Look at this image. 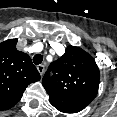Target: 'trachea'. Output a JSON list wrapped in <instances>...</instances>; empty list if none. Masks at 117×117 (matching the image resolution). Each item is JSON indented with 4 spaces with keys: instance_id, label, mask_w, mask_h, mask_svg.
<instances>
[{
    "instance_id": "1",
    "label": "trachea",
    "mask_w": 117,
    "mask_h": 117,
    "mask_svg": "<svg viewBox=\"0 0 117 117\" xmlns=\"http://www.w3.org/2000/svg\"><path fill=\"white\" fill-rule=\"evenodd\" d=\"M42 61H43V56L40 55V54H36V55L33 57V62H34V64H36V65L41 64Z\"/></svg>"
}]
</instances>
